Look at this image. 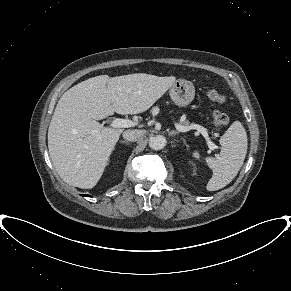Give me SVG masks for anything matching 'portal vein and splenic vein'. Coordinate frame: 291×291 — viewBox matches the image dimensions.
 <instances>
[{"instance_id": "obj_1", "label": "portal vein and splenic vein", "mask_w": 291, "mask_h": 291, "mask_svg": "<svg viewBox=\"0 0 291 291\" xmlns=\"http://www.w3.org/2000/svg\"><path fill=\"white\" fill-rule=\"evenodd\" d=\"M136 124L137 123L133 122L132 120L116 118L113 120L110 126L112 128H128V127L135 126ZM175 127L180 132H188L190 130H197L199 133H201L205 137L208 147L211 150H214L216 148V145L209 140L207 130L203 126L198 125V124H191L190 126H183L178 123H175Z\"/></svg>"}]
</instances>
